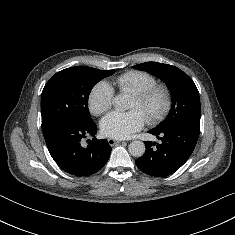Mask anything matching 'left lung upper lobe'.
I'll use <instances>...</instances> for the list:
<instances>
[{"mask_svg": "<svg viewBox=\"0 0 235 235\" xmlns=\"http://www.w3.org/2000/svg\"><path fill=\"white\" fill-rule=\"evenodd\" d=\"M134 68L147 71L164 81L172 95V106L167 118L162 121L156 131H164L181 125L200 127L201 106L199 92L193 80L179 68L158 63L146 62Z\"/></svg>", "mask_w": 235, "mask_h": 235, "instance_id": "left-lung-upper-lobe-1", "label": "left lung upper lobe"}]
</instances>
